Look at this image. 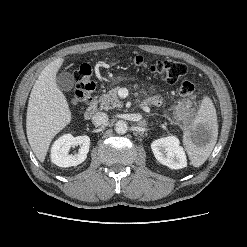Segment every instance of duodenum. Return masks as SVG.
<instances>
[{
    "instance_id": "duodenum-1",
    "label": "duodenum",
    "mask_w": 247,
    "mask_h": 247,
    "mask_svg": "<svg viewBox=\"0 0 247 247\" xmlns=\"http://www.w3.org/2000/svg\"><path fill=\"white\" fill-rule=\"evenodd\" d=\"M97 111V98H93V100L90 102L89 106L86 108L84 112L85 119L89 120L91 119L94 114Z\"/></svg>"
}]
</instances>
